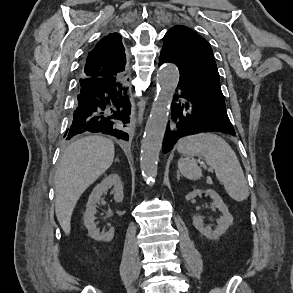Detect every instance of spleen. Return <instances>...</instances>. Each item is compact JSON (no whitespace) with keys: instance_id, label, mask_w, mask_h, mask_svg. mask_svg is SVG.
<instances>
[{"instance_id":"1","label":"spleen","mask_w":293,"mask_h":293,"mask_svg":"<svg viewBox=\"0 0 293 293\" xmlns=\"http://www.w3.org/2000/svg\"><path fill=\"white\" fill-rule=\"evenodd\" d=\"M177 150L188 156L178 161L179 171L184 177L190 180L201 178L202 171L191 156H202L215 170L217 179L232 199L240 202L248 198L249 190L239 160L223 138L212 133L186 136L179 141Z\"/></svg>"}]
</instances>
